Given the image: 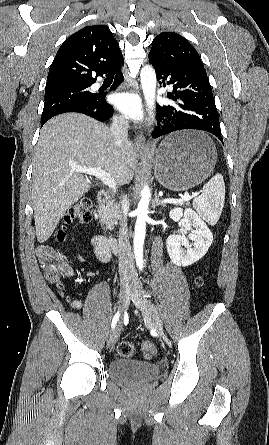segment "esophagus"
<instances>
[{
	"instance_id": "1",
	"label": "esophagus",
	"mask_w": 269,
	"mask_h": 445,
	"mask_svg": "<svg viewBox=\"0 0 269 445\" xmlns=\"http://www.w3.org/2000/svg\"><path fill=\"white\" fill-rule=\"evenodd\" d=\"M125 89H129L134 92L140 91V89L137 85L129 83V82L125 83ZM134 145H135V148H137V149H143L145 147V137L141 132L136 134V136L134 138Z\"/></svg>"
}]
</instances>
